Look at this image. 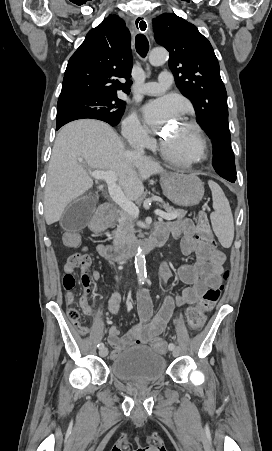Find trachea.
I'll use <instances>...</instances> for the list:
<instances>
[{"label": "trachea", "instance_id": "1", "mask_svg": "<svg viewBox=\"0 0 272 451\" xmlns=\"http://www.w3.org/2000/svg\"><path fill=\"white\" fill-rule=\"evenodd\" d=\"M138 23L141 29L144 31L146 29V23L140 18H138V20L136 21L137 25ZM135 47L140 56L144 58L147 55L149 50V43L145 35L139 34L136 36Z\"/></svg>", "mask_w": 272, "mask_h": 451}]
</instances>
